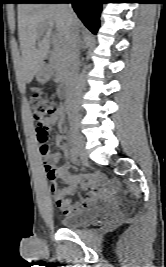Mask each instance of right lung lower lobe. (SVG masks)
I'll use <instances>...</instances> for the list:
<instances>
[{"mask_svg": "<svg viewBox=\"0 0 166 267\" xmlns=\"http://www.w3.org/2000/svg\"><path fill=\"white\" fill-rule=\"evenodd\" d=\"M71 3L78 17L85 26L94 34L100 26V12L103 0H31L20 3Z\"/></svg>", "mask_w": 166, "mask_h": 267, "instance_id": "98d812e1", "label": "right lung lower lobe"}]
</instances>
